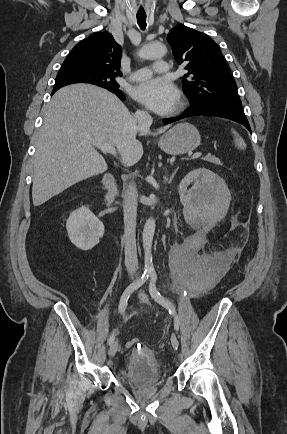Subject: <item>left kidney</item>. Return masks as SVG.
Listing matches in <instances>:
<instances>
[{"label":"left kidney","instance_id":"5707ae66","mask_svg":"<svg viewBox=\"0 0 287 434\" xmlns=\"http://www.w3.org/2000/svg\"><path fill=\"white\" fill-rule=\"evenodd\" d=\"M193 182L192 188L188 189ZM179 195L184 207L206 211L214 222L226 214L231 199L225 181L205 168L193 170L182 179Z\"/></svg>","mask_w":287,"mask_h":434}]
</instances>
